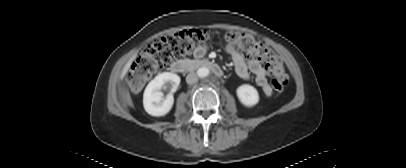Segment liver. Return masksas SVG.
Segmentation results:
<instances>
[{
  "label": "liver",
  "instance_id": "obj_1",
  "mask_svg": "<svg viewBox=\"0 0 406 168\" xmlns=\"http://www.w3.org/2000/svg\"><path fill=\"white\" fill-rule=\"evenodd\" d=\"M134 58H135V57H132V58L126 63V65L124 66V68H123V70H122V73H121V75H120V79H121V80L125 77V75H126L127 71L129 70V68H130V66H131L132 61L134 60Z\"/></svg>",
  "mask_w": 406,
  "mask_h": 168
}]
</instances>
